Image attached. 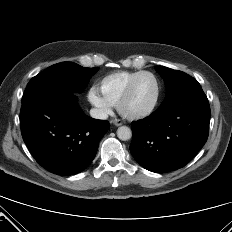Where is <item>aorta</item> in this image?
Returning a JSON list of instances; mask_svg holds the SVG:
<instances>
[{
  "label": "aorta",
  "mask_w": 232,
  "mask_h": 232,
  "mask_svg": "<svg viewBox=\"0 0 232 232\" xmlns=\"http://www.w3.org/2000/svg\"><path fill=\"white\" fill-rule=\"evenodd\" d=\"M117 137L120 140L126 141L132 137L131 129L127 126H121L117 129Z\"/></svg>",
  "instance_id": "762f6f07"
}]
</instances>
